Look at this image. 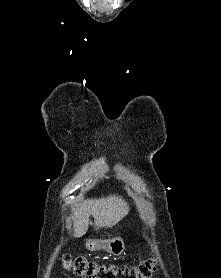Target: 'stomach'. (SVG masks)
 I'll list each match as a JSON object with an SVG mask.
<instances>
[{"label":"stomach","instance_id":"0dacf381","mask_svg":"<svg viewBox=\"0 0 221 278\" xmlns=\"http://www.w3.org/2000/svg\"><path fill=\"white\" fill-rule=\"evenodd\" d=\"M86 248L90 251L104 250L114 256L123 253L125 244L122 238H113L105 241L89 239L86 241Z\"/></svg>","mask_w":221,"mask_h":278}]
</instances>
